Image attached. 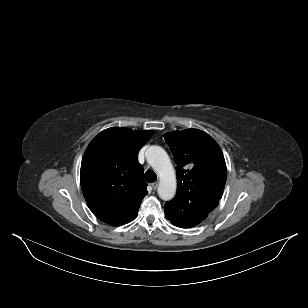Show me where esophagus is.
<instances>
[{"mask_svg":"<svg viewBox=\"0 0 308 308\" xmlns=\"http://www.w3.org/2000/svg\"><path fill=\"white\" fill-rule=\"evenodd\" d=\"M152 188L155 190L158 187V182H154L151 184Z\"/></svg>","mask_w":308,"mask_h":308,"instance_id":"esophagus-1","label":"esophagus"}]
</instances>
